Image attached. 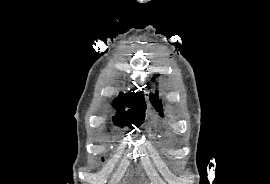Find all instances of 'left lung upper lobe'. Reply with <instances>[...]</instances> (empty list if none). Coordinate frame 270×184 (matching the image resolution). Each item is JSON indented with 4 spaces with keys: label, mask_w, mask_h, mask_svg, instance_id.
<instances>
[{
    "label": "left lung upper lobe",
    "mask_w": 270,
    "mask_h": 184,
    "mask_svg": "<svg viewBox=\"0 0 270 184\" xmlns=\"http://www.w3.org/2000/svg\"><path fill=\"white\" fill-rule=\"evenodd\" d=\"M150 101L153 104V106L156 108L158 112H160V115L163 116V106L161 103V100L159 99L158 93L150 94Z\"/></svg>",
    "instance_id": "obj_1"
}]
</instances>
